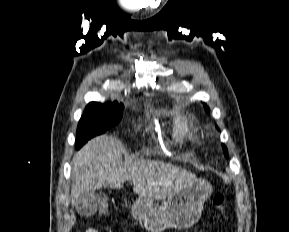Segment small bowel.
<instances>
[{"label": "small bowel", "mask_w": 289, "mask_h": 232, "mask_svg": "<svg viewBox=\"0 0 289 232\" xmlns=\"http://www.w3.org/2000/svg\"><path fill=\"white\" fill-rule=\"evenodd\" d=\"M85 232H98L95 228H88ZM124 232H134L132 230H125Z\"/></svg>", "instance_id": "1"}]
</instances>
